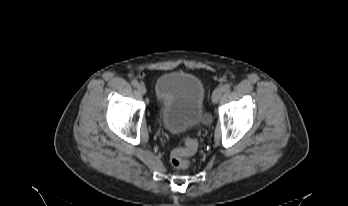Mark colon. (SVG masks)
Returning a JSON list of instances; mask_svg holds the SVG:
<instances>
[{
    "mask_svg": "<svg viewBox=\"0 0 348 206\" xmlns=\"http://www.w3.org/2000/svg\"><path fill=\"white\" fill-rule=\"evenodd\" d=\"M197 149V142L192 138H186L183 146L175 149L170 156V163L174 168L185 169L189 165V156Z\"/></svg>",
    "mask_w": 348,
    "mask_h": 206,
    "instance_id": "1",
    "label": "colon"
}]
</instances>
